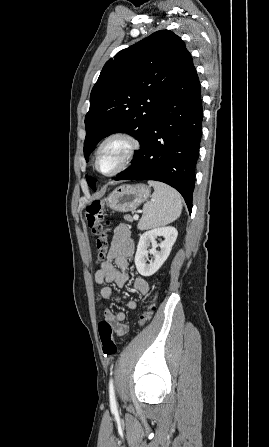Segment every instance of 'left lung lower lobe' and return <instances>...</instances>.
<instances>
[{"instance_id": "obj_1", "label": "left lung lower lobe", "mask_w": 269, "mask_h": 447, "mask_svg": "<svg viewBox=\"0 0 269 447\" xmlns=\"http://www.w3.org/2000/svg\"><path fill=\"white\" fill-rule=\"evenodd\" d=\"M201 86L187 52L130 167L115 180H156L177 189L189 212L202 135Z\"/></svg>"}]
</instances>
